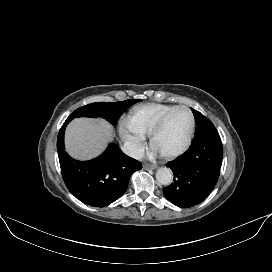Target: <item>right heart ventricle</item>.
I'll use <instances>...</instances> for the list:
<instances>
[{
    "instance_id": "obj_1",
    "label": "right heart ventricle",
    "mask_w": 272,
    "mask_h": 272,
    "mask_svg": "<svg viewBox=\"0 0 272 272\" xmlns=\"http://www.w3.org/2000/svg\"><path fill=\"white\" fill-rule=\"evenodd\" d=\"M175 107L174 105L151 103L136 107L127 117V124L131 130L142 135L150 134L159 118Z\"/></svg>"
}]
</instances>
